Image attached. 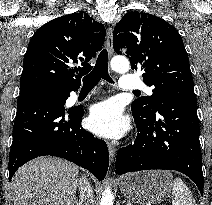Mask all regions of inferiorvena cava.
<instances>
[{
  "label": "inferior vena cava",
  "instance_id": "inferior-vena-cava-1",
  "mask_svg": "<svg viewBox=\"0 0 212 205\" xmlns=\"http://www.w3.org/2000/svg\"><path fill=\"white\" fill-rule=\"evenodd\" d=\"M80 191V204L81 205H94L93 193L88 181L82 177L79 179Z\"/></svg>",
  "mask_w": 212,
  "mask_h": 205
}]
</instances>
